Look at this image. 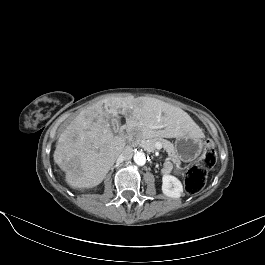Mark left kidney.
<instances>
[{
  "mask_svg": "<svg viewBox=\"0 0 265 265\" xmlns=\"http://www.w3.org/2000/svg\"><path fill=\"white\" fill-rule=\"evenodd\" d=\"M162 192L171 198H180L183 193V186L180 180L172 175L162 177Z\"/></svg>",
  "mask_w": 265,
  "mask_h": 265,
  "instance_id": "5707ae66",
  "label": "left kidney"
}]
</instances>
